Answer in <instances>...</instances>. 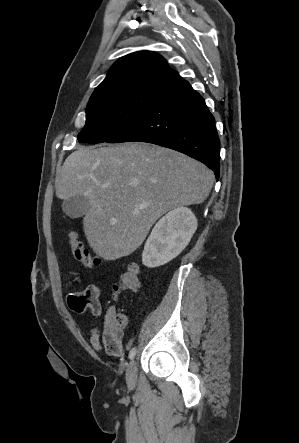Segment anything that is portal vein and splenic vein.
Returning <instances> with one entry per match:
<instances>
[{
    "instance_id": "portal-vein-and-splenic-vein-1",
    "label": "portal vein and splenic vein",
    "mask_w": 299,
    "mask_h": 443,
    "mask_svg": "<svg viewBox=\"0 0 299 443\" xmlns=\"http://www.w3.org/2000/svg\"><path fill=\"white\" fill-rule=\"evenodd\" d=\"M146 206H147V204H141V205L138 206V208L142 209V208H145Z\"/></svg>"
}]
</instances>
